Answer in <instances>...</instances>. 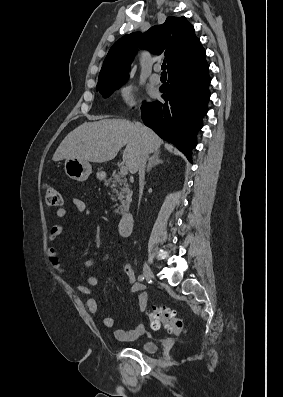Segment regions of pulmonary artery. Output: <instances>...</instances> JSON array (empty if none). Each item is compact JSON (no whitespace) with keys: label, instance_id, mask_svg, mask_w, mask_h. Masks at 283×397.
Returning <instances> with one entry per match:
<instances>
[{"label":"pulmonary artery","instance_id":"1","mask_svg":"<svg viewBox=\"0 0 283 397\" xmlns=\"http://www.w3.org/2000/svg\"><path fill=\"white\" fill-rule=\"evenodd\" d=\"M160 71V66L156 65L154 67V73L150 76V81L153 84H159L160 83V75L158 74V72Z\"/></svg>","mask_w":283,"mask_h":397}]
</instances>
